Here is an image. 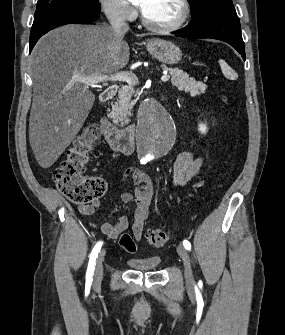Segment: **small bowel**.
<instances>
[{"label": "small bowel", "instance_id": "1", "mask_svg": "<svg viewBox=\"0 0 285 335\" xmlns=\"http://www.w3.org/2000/svg\"><path fill=\"white\" fill-rule=\"evenodd\" d=\"M204 164L202 157L194 155L190 151L180 153L173 165V184L182 186L194 178ZM134 178V192H122L120 195L124 203L136 201L133 212L132 232L136 240L142 236L145 222L150 213V207L154 197V185L146 174H138L133 168H127L123 172V179ZM100 207L98 200L87 205H79L78 210L83 215H92ZM129 227V219L126 216L118 218L115 224L106 222L101 225V232L107 238L117 239Z\"/></svg>", "mask_w": 285, "mask_h": 335}]
</instances>
